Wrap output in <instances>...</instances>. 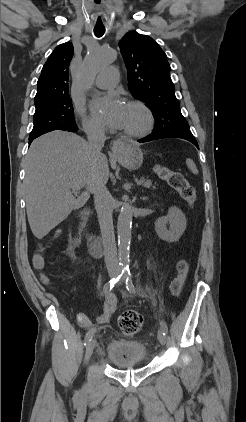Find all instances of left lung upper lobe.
<instances>
[{
	"mask_svg": "<svg viewBox=\"0 0 246 422\" xmlns=\"http://www.w3.org/2000/svg\"><path fill=\"white\" fill-rule=\"evenodd\" d=\"M119 47L127 68L131 94L145 102L153 112L156 122L152 133L190 131L175 96L166 54L157 42L147 35L131 31L121 39Z\"/></svg>",
	"mask_w": 246,
	"mask_h": 422,
	"instance_id": "1",
	"label": "left lung upper lobe"
}]
</instances>
